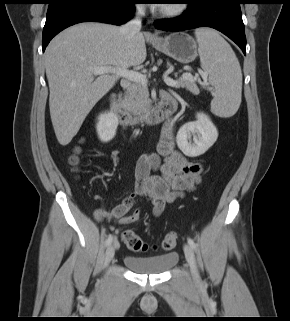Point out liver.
I'll return each mask as SVG.
<instances>
[{"label":"liver","instance_id":"6515ba94","mask_svg":"<svg viewBox=\"0 0 290 321\" xmlns=\"http://www.w3.org/2000/svg\"><path fill=\"white\" fill-rule=\"evenodd\" d=\"M120 28L98 22L79 23L60 32L46 48L50 116L62 146L71 142L94 105L118 80L108 73L95 78L91 68L128 70L146 59L143 33L127 38Z\"/></svg>","mask_w":290,"mask_h":321}]
</instances>
